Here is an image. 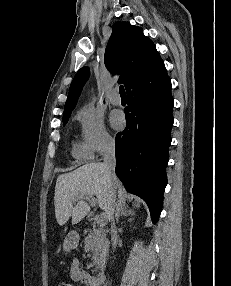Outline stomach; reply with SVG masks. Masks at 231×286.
<instances>
[{"mask_svg":"<svg viewBox=\"0 0 231 286\" xmlns=\"http://www.w3.org/2000/svg\"><path fill=\"white\" fill-rule=\"evenodd\" d=\"M79 244V234L76 231H71L67 234L63 242V250L68 252L76 248Z\"/></svg>","mask_w":231,"mask_h":286,"instance_id":"0dacf381","label":"stomach"}]
</instances>
